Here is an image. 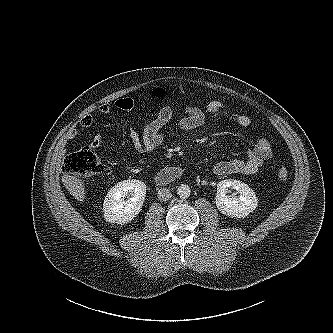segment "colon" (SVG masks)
<instances>
[{
	"label": "colon",
	"instance_id": "colon-1",
	"mask_svg": "<svg viewBox=\"0 0 333 333\" xmlns=\"http://www.w3.org/2000/svg\"><path fill=\"white\" fill-rule=\"evenodd\" d=\"M153 96L157 98H165L166 93L163 89H155ZM63 170L68 174H74L82 177H91L105 171L100 158L95 149L91 146H86L80 150L66 156L63 162ZM278 177L281 181H287L289 172L285 167H280Z\"/></svg>",
	"mask_w": 333,
	"mask_h": 333
}]
</instances>
